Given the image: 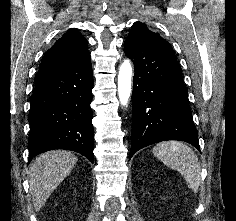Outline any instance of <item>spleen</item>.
<instances>
[{"label":"spleen","mask_w":236,"mask_h":221,"mask_svg":"<svg viewBox=\"0 0 236 221\" xmlns=\"http://www.w3.org/2000/svg\"><path fill=\"white\" fill-rule=\"evenodd\" d=\"M153 154L165 165L177 170L193 191L201 183V167L195 152L178 141H164L156 144Z\"/></svg>","instance_id":"1"}]
</instances>
